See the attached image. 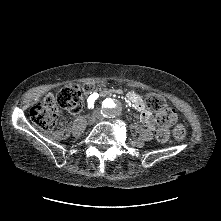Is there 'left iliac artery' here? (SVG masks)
I'll return each instance as SVG.
<instances>
[{
	"instance_id": "44dca946",
	"label": "left iliac artery",
	"mask_w": 221,
	"mask_h": 221,
	"mask_svg": "<svg viewBox=\"0 0 221 221\" xmlns=\"http://www.w3.org/2000/svg\"><path fill=\"white\" fill-rule=\"evenodd\" d=\"M103 105L106 106V107L112 108V107L115 106V103L113 102L112 99L109 98V99H105L103 101Z\"/></svg>"
}]
</instances>
